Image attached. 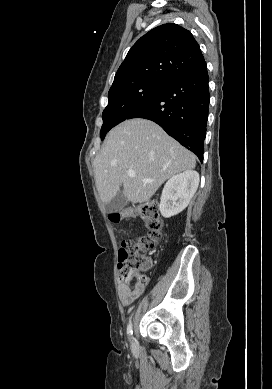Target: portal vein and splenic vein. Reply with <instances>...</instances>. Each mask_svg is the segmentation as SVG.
<instances>
[{"mask_svg":"<svg viewBox=\"0 0 272 389\" xmlns=\"http://www.w3.org/2000/svg\"><path fill=\"white\" fill-rule=\"evenodd\" d=\"M127 174H128V176L130 177V178H133V177H135V172L134 171H132V170H129L128 172H127ZM143 182L144 183H150V182H152V180H149V179H143Z\"/></svg>","mask_w":272,"mask_h":389,"instance_id":"portal-vein-and-splenic-vein-1","label":"portal vein and splenic vein"}]
</instances>
